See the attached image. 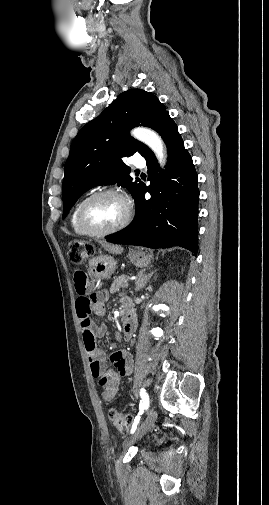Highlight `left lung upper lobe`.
<instances>
[{
    "label": "left lung upper lobe",
    "instance_id": "obj_1",
    "mask_svg": "<svg viewBox=\"0 0 269 505\" xmlns=\"http://www.w3.org/2000/svg\"><path fill=\"white\" fill-rule=\"evenodd\" d=\"M167 114L166 107L152 93L130 89L87 123L73 140L65 163L63 218L82 194L98 185L117 182L135 198L142 182L133 181L131 169L122 158L135 152L144 157L150 149L132 138L129 131L136 126L155 130Z\"/></svg>",
    "mask_w": 269,
    "mask_h": 505
}]
</instances>
